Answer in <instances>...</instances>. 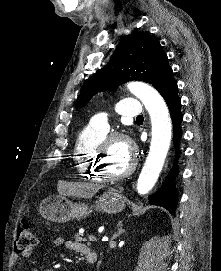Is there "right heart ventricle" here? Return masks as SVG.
I'll return each instance as SVG.
<instances>
[{
  "label": "right heart ventricle",
  "instance_id": "1",
  "mask_svg": "<svg viewBox=\"0 0 221 271\" xmlns=\"http://www.w3.org/2000/svg\"><path fill=\"white\" fill-rule=\"evenodd\" d=\"M108 137L105 134H96L90 138H78V142L75 146L76 154L74 158V164H81L77 167V176L79 179H96L95 181L99 183L102 175L99 171H96L97 164H94V159L96 158V150L98 144H107Z\"/></svg>",
  "mask_w": 221,
  "mask_h": 271
}]
</instances>
